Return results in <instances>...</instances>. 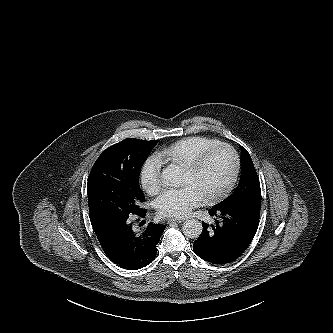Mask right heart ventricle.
I'll use <instances>...</instances> for the list:
<instances>
[{
	"mask_svg": "<svg viewBox=\"0 0 333 333\" xmlns=\"http://www.w3.org/2000/svg\"><path fill=\"white\" fill-rule=\"evenodd\" d=\"M221 142L206 136H192L178 140L158 153L161 158L174 165L183 167L206 148Z\"/></svg>",
	"mask_w": 333,
	"mask_h": 333,
	"instance_id": "e07e8e85",
	"label": "right heart ventricle"
}]
</instances>
